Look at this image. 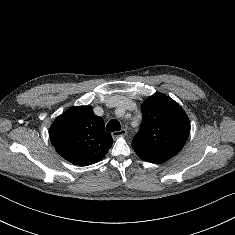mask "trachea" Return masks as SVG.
Here are the masks:
<instances>
[{
  "instance_id": "trachea-1",
  "label": "trachea",
  "mask_w": 235,
  "mask_h": 235,
  "mask_svg": "<svg viewBox=\"0 0 235 235\" xmlns=\"http://www.w3.org/2000/svg\"><path fill=\"white\" fill-rule=\"evenodd\" d=\"M120 129H121L120 122L116 119L110 120L106 126V131L108 132L119 131Z\"/></svg>"
}]
</instances>
